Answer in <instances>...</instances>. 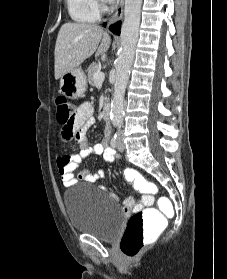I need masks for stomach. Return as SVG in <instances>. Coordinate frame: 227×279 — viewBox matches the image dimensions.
I'll return each mask as SVG.
<instances>
[{"mask_svg":"<svg viewBox=\"0 0 227 279\" xmlns=\"http://www.w3.org/2000/svg\"><path fill=\"white\" fill-rule=\"evenodd\" d=\"M60 92L70 99H77L83 95L87 88V80L80 68H75L60 78Z\"/></svg>","mask_w":227,"mask_h":279,"instance_id":"0dacf381","label":"stomach"}]
</instances>
